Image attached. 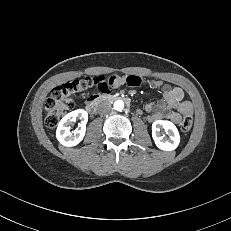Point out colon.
<instances>
[{
    "label": "colon",
    "instance_id": "5ec220e1",
    "mask_svg": "<svg viewBox=\"0 0 231 231\" xmlns=\"http://www.w3.org/2000/svg\"><path fill=\"white\" fill-rule=\"evenodd\" d=\"M110 78L104 76L87 77L75 80L56 87L45 103V123L48 127H55L61 118L74 107L76 98H87L89 95L100 92L99 87ZM193 123L191 115H185L180 127L183 132H188Z\"/></svg>",
    "mask_w": 231,
    "mask_h": 231
}]
</instances>
